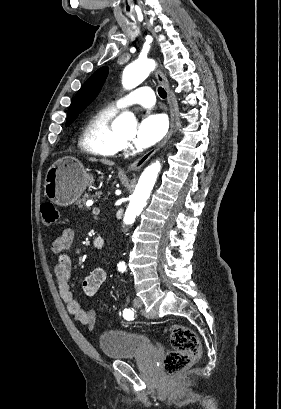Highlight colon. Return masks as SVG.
<instances>
[{
	"label": "colon",
	"instance_id": "colon-1",
	"mask_svg": "<svg viewBox=\"0 0 281 409\" xmlns=\"http://www.w3.org/2000/svg\"><path fill=\"white\" fill-rule=\"evenodd\" d=\"M41 214L45 226H51L58 222V210L52 202L42 203ZM89 328L93 330L94 326L90 324ZM167 331L173 350L165 355L163 369L166 372L176 373L199 358V339L196 332L186 326L172 324L167 326Z\"/></svg>",
	"mask_w": 281,
	"mask_h": 409
}]
</instances>
